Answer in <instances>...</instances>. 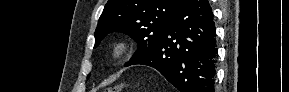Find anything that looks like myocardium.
<instances>
[{
    "label": "myocardium",
    "mask_w": 289,
    "mask_h": 92,
    "mask_svg": "<svg viewBox=\"0 0 289 92\" xmlns=\"http://www.w3.org/2000/svg\"><path fill=\"white\" fill-rule=\"evenodd\" d=\"M132 52V45L124 39L116 40L111 47L110 55L114 62H121L130 56Z\"/></svg>",
    "instance_id": "obj_1"
}]
</instances>
